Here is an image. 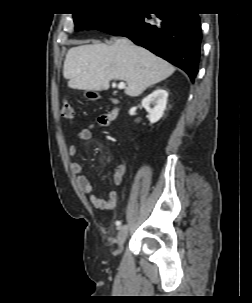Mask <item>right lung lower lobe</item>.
Masks as SVG:
<instances>
[{
	"label": "right lung lower lobe",
	"mask_w": 252,
	"mask_h": 303,
	"mask_svg": "<svg viewBox=\"0 0 252 303\" xmlns=\"http://www.w3.org/2000/svg\"><path fill=\"white\" fill-rule=\"evenodd\" d=\"M125 36L184 70L194 81L201 47V23L198 14L166 9L155 16L137 11L99 29Z\"/></svg>",
	"instance_id": "98d812e1"
}]
</instances>
